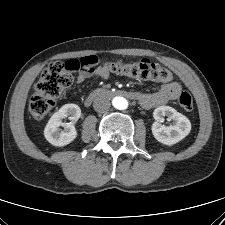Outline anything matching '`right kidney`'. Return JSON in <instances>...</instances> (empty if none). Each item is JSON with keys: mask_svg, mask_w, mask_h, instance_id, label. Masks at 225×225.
<instances>
[{"mask_svg": "<svg viewBox=\"0 0 225 225\" xmlns=\"http://www.w3.org/2000/svg\"><path fill=\"white\" fill-rule=\"evenodd\" d=\"M81 109L76 104H66L55 112L49 119L45 129L44 136L46 140L54 146H65L71 143L77 137V131L74 123L80 118ZM69 118L71 122L65 124L63 119ZM63 126L64 129H60Z\"/></svg>", "mask_w": 225, "mask_h": 225, "instance_id": "1", "label": "right kidney"}]
</instances>
